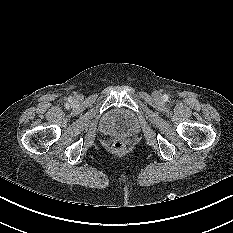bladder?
I'll list each match as a JSON object with an SVG mask.
<instances>
[{
	"label": "bladder",
	"instance_id": "bladder-1",
	"mask_svg": "<svg viewBox=\"0 0 233 233\" xmlns=\"http://www.w3.org/2000/svg\"><path fill=\"white\" fill-rule=\"evenodd\" d=\"M99 127L105 135L125 137L137 133L139 124L131 111L115 108L103 115Z\"/></svg>",
	"mask_w": 233,
	"mask_h": 233
}]
</instances>
